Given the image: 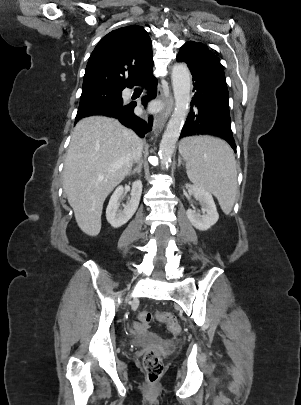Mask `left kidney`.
Instances as JSON below:
<instances>
[{"instance_id":"obj_1","label":"left kidney","mask_w":301,"mask_h":405,"mask_svg":"<svg viewBox=\"0 0 301 405\" xmlns=\"http://www.w3.org/2000/svg\"><path fill=\"white\" fill-rule=\"evenodd\" d=\"M194 198L200 201L202 205V214L196 210L188 209L186 214L191 224L200 231H206L213 226L219 219L212 195L204 188L198 185L186 184Z\"/></svg>"}]
</instances>
